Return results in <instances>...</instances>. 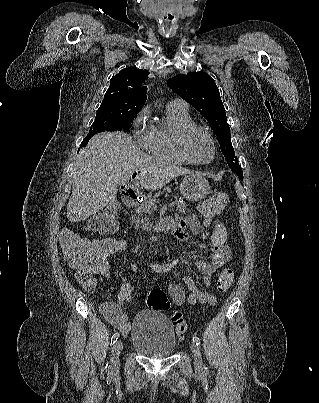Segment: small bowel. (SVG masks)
Listing matches in <instances>:
<instances>
[{"instance_id": "small-bowel-1", "label": "small bowel", "mask_w": 319, "mask_h": 403, "mask_svg": "<svg viewBox=\"0 0 319 403\" xmlns=\"http://www.w3.org/2000/svg\"><path fill=\"white\" fill-rule=\"evenodd\" d=\"M204 204L200 206V210L203 212ZM174 235L175 237L182 241L188 242L191 240L188 229L191 234L197 239L196 247L198 249L203 248V241L207 238V231L201 225L197 217L187 216L182 220H174ZM85 240V239H84ZM88 241V240H85ZM124 250V249H123ZM211 261L207 262L204 260H197L195 262L196 267L202 273L204 283L207 286L212 284V276L215 271L223 266L229 259L230 251L228 246L224 243L223 247H214L213 243L211 245ZM108 258H100L96 265V271L101 278H108L110 276V265L107 260ZM181 258H177L172 263L160 264L154 261L150 262V267L157 273H166L177 263H179ZM69 266H77L76 263H69ZM138 270L137 265L131 264L129 266L128 275L124 276L120 282L118 299L117 302H104L100 305V311L107 319V321L117 330H119L123 335H127L131 329V325L128 320L127 314L123 311L122 305L130 300L131 297V276L134 275ZM183 282L190 291L189 296L186 298L182 288L174 283L167 286V291L171 296L174 304L182 305L186 300L192 304H205L209 306H214L217 302L216 297L208 292L199 289L193 278L189 275L183 277Z\"/></svg>"}]
</instances>
